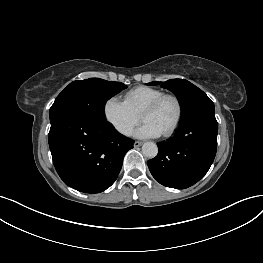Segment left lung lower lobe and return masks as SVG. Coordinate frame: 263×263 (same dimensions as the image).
Masks as SVG:
<instances>
[{
    "label": "left lung lower lobe",
    "instance_id": "1",
    "mask_svg": "<svg viewBox=\"0 0 263 263\" xmlns=\"http://www.w3.org/2000/svg\"><path fill=\"white\" fill-rule=\"evenodd\" d=\"M217 132L214 113L182 123L170 140L158 143V155L147 161L153 177L170 188L194 185L207 173L215 158Z\"/></svg>",
    "mask_w": 263,
    "mask_h": 263
}]
</instances>
